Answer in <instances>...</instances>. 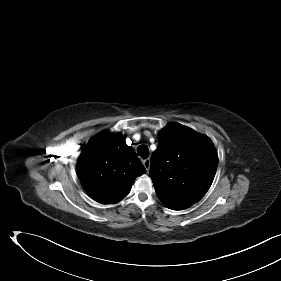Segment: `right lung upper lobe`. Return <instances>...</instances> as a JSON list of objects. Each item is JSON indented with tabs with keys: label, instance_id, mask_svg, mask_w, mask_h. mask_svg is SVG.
Segmentation results:
<instances>
[{
	"label": "right lung upper lobe",
	"instance_id": "obj_1",
	"mask_svg": "<svg viewBox=\"0 0 281 281\" xmlns=\"http://www.w3.org/2000/svg\"><path fill=\"white\" fill-rule=\"evenodd\" d=\"M146 172L132 147L121 134L102 131L84 147L77 174L88 195L102 204L120 201L137 176Z\"/></svg>",
	"mask_w": 281,
	"mask_h": 281
}]
</instances>
